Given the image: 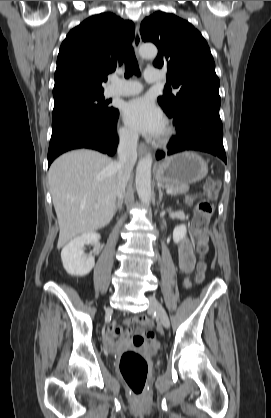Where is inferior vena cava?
<instances>
[{"instance_id":"602c4592","label":"inferior vena cava","mask_w":271,"mask_h":418,"mask_svg":"<svg viewBox=\"0 0 271 418\" xmlns=\"http://www.w3.org/2000/svg\"><path fill=\"white\" fill-rule=\"evenodd\" d=\"M138 134L131 133L124 136L118 146V172L116 179V196L118 200L123 199L127 182L137 160Z\"/></svg>"}]
</instances>
